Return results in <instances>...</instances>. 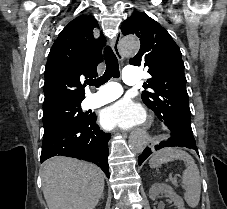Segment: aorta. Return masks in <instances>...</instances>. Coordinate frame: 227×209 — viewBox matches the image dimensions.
<instances>
[{"instance_id":"1","label":"aorta","mask_w":227,"mask_h":209,"mask_svg":"<svg viewBox=\"0 0 227 209\" xmlns=\"http://www.w3.org/2000/svg\"><path fill=\"white\" fill-rule=\"evenodd\" d=\"M140 41L135 36H128L122 39L120 43L121 53L125 56H131L138 52ZM145 137L143 135L134 137L131 140L130 146L135 153H141L145 147Z\"/></svg>"}]
</instances>
